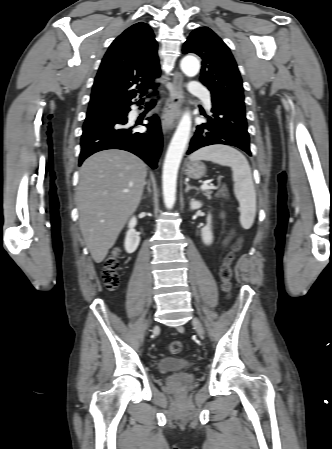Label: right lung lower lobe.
Segmentation results:
<instances>
[{
    "mask_svg": "<svg viewBox=\"0 0 332 449\" xmlns=\"http://www.w3.org/2000/svg\"><path fill=\"white\" fill-rule=\"evenodd\" d=\"M129 111L130 107H126L120 114L108 113L84 122L79 165L98 151L121 149L139 156L153 169L157 167L162 149L160 120L157 115L148 117V130L135 132L127 125Z\"/></svg>",
    "mask_w": 332,
    "mask_h": 449,
    "instance_id": "1",
    "label": "right lung lower lobe"
}]
</instances>
